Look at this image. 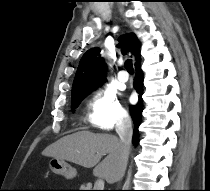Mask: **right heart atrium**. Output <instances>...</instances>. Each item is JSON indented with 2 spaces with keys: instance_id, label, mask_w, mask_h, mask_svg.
I'll use <instances>...</instances> for the list:
<instances>
[{
  "instance_id": "d8ad5b80",
  "label": "right heart atrium",
  "mask_w": 210,
  "mask_h": 191,
  "mask_svg": "<svg viewBox=\"0 0 210 191\" xmlns=\"http://www.w3.org/2000/svg\"><path fill=\"white\" fill-rule=\"evenodd\" d=\"M88 121L96 128L109 131L127 119V113L121 106L113 90H100L88 103Z\"/></svg>"
}]
</instances>
